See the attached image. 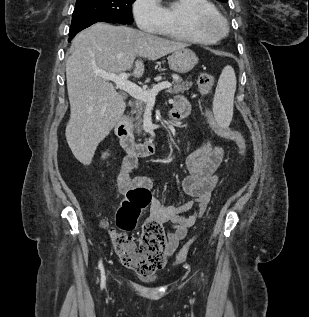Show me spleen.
Listing matches in <instances>:
<instances>
[{"label": "spleen", "instance_id": "1", "mask_svg": "<svg viewBox=\"0 0 309 317\" xmlns=\"http://www.w3.org/2000/svg\"><path fill=\"white\" fill-rule=\"evenodd\" d=\"M235 91V71L227 65L219 77L213 101L214 116L221 127H227L232 120Z\"/></svg>", "mask_w": 309, "mask_h": 317}]
</instances>
